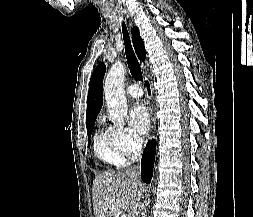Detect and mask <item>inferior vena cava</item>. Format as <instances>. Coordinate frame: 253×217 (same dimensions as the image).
Listing matches in <instances>:
<instances>
[{
    "mask_svg": "<svg viewBox=\"0 0 253 217\" xmlns=\"http://www.w3.org/2000/svg\"><path fill=\"white\" fill-rule=\"evenodd\" d=\"M136 156H137V161L141 160V153H142V140L141 139H137L136 140ZM127 174H129L132 178L135 179H139V175H140V166H133L130 167L129 169H127Z\"/></svg>",
    "mask_w": 253,
    "mask_h": 217,
    "instance_id": "1",
    "label": "inferior vena cava"
}]
</instances>
